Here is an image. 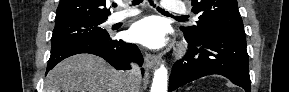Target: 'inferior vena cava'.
I'll use <instances>...</instances> for the list:
<instances>
[{
	"label": "inferior vena cava",
	"mask_w": 289,
	"mask_h": 92,
	"mask_svg": "<svg viewBox=\"0 0 289 92\" xmlns=\"http://www.w3.org/2000/svg\"><path fill=\"white\" fill-rule=\"evenodd\" d=\"M126 77V84L129 92H134L136 89H138V83L141 80V71L140 68L134 64L131 63V69L125 72Z\"/></svg>",
	"instance_id": "inferior-vena-cava-1"
}]
</instances>
